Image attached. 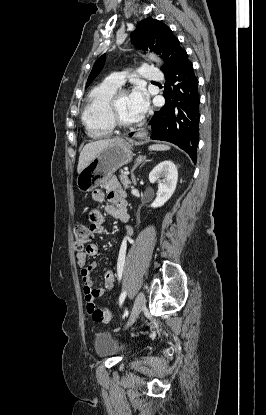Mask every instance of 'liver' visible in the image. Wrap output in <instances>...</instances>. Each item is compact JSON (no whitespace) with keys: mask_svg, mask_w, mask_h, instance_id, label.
Returning <instances> with one entry per match:
<instances>
[{"mask_svg":"<svg viewBox=\"0 0 266 415\" xmlns=\"http://www.w3.org/2000/svg\"><path fill=\"white\" fill-rule=\"evenodd\" d=\"M118 140V138L113 139H105V140H98L91 143L86 144L79 156L77 172L78 174L85 168L87 165L98 155L100 151H102L105 147L109 144L113 143L114 141Z\"/></svg>","mask_w":266,"mask_h":415,"instance_id":"6515ba94","label":"liver"}]
</instances>
